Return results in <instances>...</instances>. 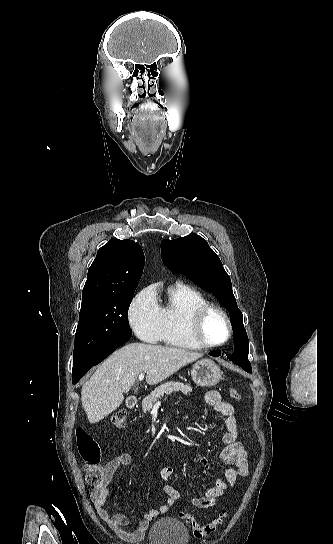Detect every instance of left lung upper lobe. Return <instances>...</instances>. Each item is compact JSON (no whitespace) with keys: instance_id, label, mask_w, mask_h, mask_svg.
Instances as JSON below:
<instances>
[{"instance_id":"left-lung-upper-lobe-1","label":"left lung upper lobe","mask_w":333,"mask_h":544,"mask_svg":"<svg viewBox=\"0 0 333 544\" xmlns=\"http://www.w3.org/2000/svg\"><path fill=\"white\" fill-rule=\"evenodd\" d=\"M161 257L170 271L188 276L202 289L212 292L228 309L234 332L238 330L242 335L241 342L235 341L232 360L239 366H251L248 360V338L230 277L207 241L196 234L175 240L165 239L161 242Z\"/></svg>"}]
</instances>
